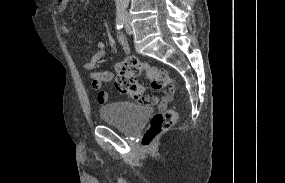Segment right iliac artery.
<instances>
[{"label": "right iliac artery", "instance_id": "1", "mask_svg": "<svg viewBox=\"0 0 285 183\" xmlns=\"http://www.w3.org/2000/svg\"><path fill=\"white\" fill-rule=\"evenodd\" d=\"M124 9H118L117 10V16H116V27L117 29H122L124 25Z\"/></svg>", "mask_w": 285, "mask_h": 183}]
</instances>
